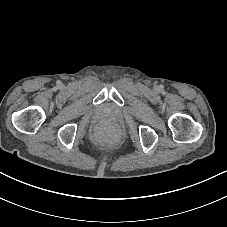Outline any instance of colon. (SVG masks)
Listing matches in <instances>:
<instances>
[{"mask_svg": "<svg viewBox=\"0 0 227 227\" xmlns=\"http://www.w3.org/2000/svg\"><path fill=\"white\" fill-rule=\"evenodd\" d=\"M119 135L120 132L117 127L105 123L101 128L98 139L101 143L109 144L113 143Z\"/></svg>", "mask_w": 227, "mask_h": 227, "instance_id": "1", "label": "colon"}]
</instances>
